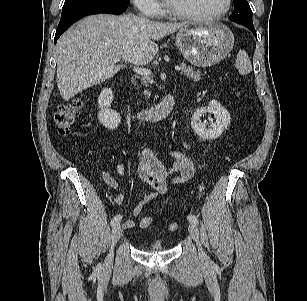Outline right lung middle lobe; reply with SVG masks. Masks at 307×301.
I'll return each mask as SVG.
<instances>
[{"mask_svg": "<svg viewBox=\"0 0 307 301\" xmlns=\"http://www.w3.org/2000/svg\"><path fill=\"white\" fill-rule=\"evenodd\" d=\"M97 2H115L121 4H128L129 0H65L62 12Z\"/></svg>", "mask_w": 307, "mask_h": 301, "instance_id": "right-lung-middle-lobe-1", "label": "right lung middle lobe"}]
</instances>
